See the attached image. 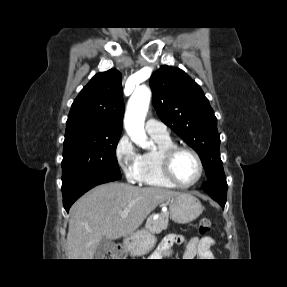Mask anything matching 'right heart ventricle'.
I'll return each mask as SVG.
<instances>
[{"label":"right heart ventricle","mask_w":287,"mask_h":287,"mask_svg":"<svg viewBox=\"0 0 287 287\" xmlns=\"http://www.w3.org/2000/svg\"><path fill=\"white\" fill-rule=\"evenodd\" d=\"M152 138L156 143V148L140 155L139 183L155 187L174 188L176 185L169 181L163 173L160 154L175 143L170 137L152 136Z\"/></svg>","instance_id":"obj_1"}]
</instances>
